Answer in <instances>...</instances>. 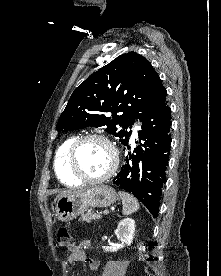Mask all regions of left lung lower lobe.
<instances>
[{
    "mask_svg": "<svg viewBox=\"0 0 221 276\" xmlns=\"http://www.w3.org/2000/svg\"><path fill=\"white\" fill-rule=\"evenodd\" d=\"M171 125V109L165 101L142 121L138 136L144 144L134 148L135 154L129 153V159L113 179L114 184L140 200L154 218L158 216L161 190L166 182Z\"/></svg>",
    "mask_w": 221,
    "mask_h": 276,
    "instance_id": "left-lung-lower-lobe-1",
    "label": "left lung lower lobe"
}]
</instances>
